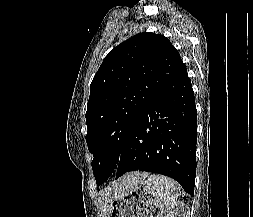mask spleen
Wrapping results in <instances>:
<instances>
[{
  "label": "spleen",
  "instance_id": "spleen-1",
  "mask_svg": "<svg viewBox=\"0 0 253 217\" xmlns=\"http://www.w3.org/2000/svg\"><path fill=\"white\" fill-rule=\"evenodd\" d=\"M148 181L155 187L157 194L155 203L161 210L170 206L181 195V187L171 178L158 174H151L148 177Z\"/></svg>",
  "mask_w": 253,
  "mask_h": 217
}]
</instances>
